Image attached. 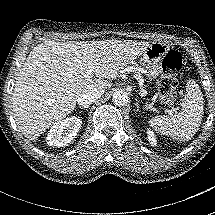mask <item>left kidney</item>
<instances>
[{
  "instance_id": "5707ae66",
  "label": "left kidney",
  "mask_w": 215,
  "mask_h": 215,
  "mask_svg": "<svg viewBox=\"0 0 215 215\" xmlns=\"http://www.w3.org/2000/svg\"><path fill=\"white\" fill-rule=\"evenodd\" d=\"M147 133H148V136H149L150 143L151 144L155 143L154 134L151 131H148Z\"/></svg>"
}]
</instances>
